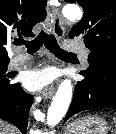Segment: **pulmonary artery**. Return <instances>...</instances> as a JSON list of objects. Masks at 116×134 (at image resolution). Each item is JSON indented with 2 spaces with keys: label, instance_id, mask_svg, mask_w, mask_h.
Here are the masks:
<instances>
[{
  "label": "pulmonary artery",
  "instance_id": "pulmonary-artery-1",
  "mask_svg": "<svg viewBox=\"0 0 116 134\" xmlns=\"http://www.w3.org/2000/svg\"><path fill=\"white\" fill-rule=\"evenodd\" d=\"M63 47L66 51L80 53L85 61H87L88 58H89V50L84 48L77 41L67 40V41L64 42ZM30 60H31V57L28 56V55H25V54H22V53L17 54L10 59L9 68L20 67V66L26 64L27 62H29Z\"/></svg>",
  "mask_w": 116,
  "mask_h": 134
}]
</instances>
